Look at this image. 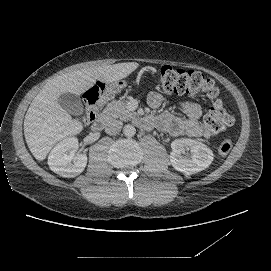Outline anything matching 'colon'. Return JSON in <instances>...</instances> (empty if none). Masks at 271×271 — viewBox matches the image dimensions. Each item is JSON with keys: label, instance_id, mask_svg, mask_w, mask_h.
Wrapping results in <instances>:
<instances>
[{"label": "colon", "instance_id": "obj_1", "mask_svg": "<svg viewBox=\"0 0 271 271\" xmlns=\"http://www.w3.org/2000/svg\"><path fill=\"white\" fill-rule=\"evenodd\" d=\"M159 88L167 93L198 95L203 94L212 102V107L205 115L201 127L206 137H214L233 125V117L226 111L218 98L219 90L213 80L195 70L174 69L163 66L159 73ZM122 82L107 85L101 81L91 87L85 95L83 123H90L97 109L104 105L110 95L123 87ZM232 149V141L224 139L218 146L221 156L227 155Z\"/></svg>", "mask_w": 271, "mask_h": 271}]
</instances>
